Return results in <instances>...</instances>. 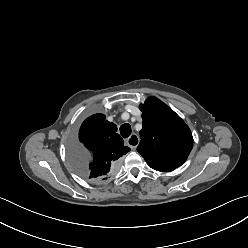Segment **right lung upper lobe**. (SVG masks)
Listing matches in <instances>:
<instances>
[{"label":"right lung upper lobe","instance_id":"right-lung-upper-lobe-1","mask_svg":"<svg viewBox=\"0 0 248 248\" xmlns=\"http://www.w3.org/2000/svg\"><path fill=\"white\" fill-rule=\"evenodd\" d=\"M116 131V125L107 121L103 114L92 115L83 122L79 140L89 156L85 170L87 179L94 181L108 176L120 158L130 151Z\"/></svg>","mask_w":248,"mask_h":248}]
</instances>
